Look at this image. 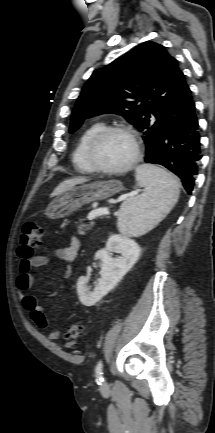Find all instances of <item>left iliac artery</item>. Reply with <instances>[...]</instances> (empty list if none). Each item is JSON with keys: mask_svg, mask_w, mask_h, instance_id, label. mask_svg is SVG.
Returning a JSON list of instances; mask_svg holds the SVG:
<instances>
[{"mask_svg": "<svg viewBox=\"0 0 215 433\" xmlns=\"http://www.w3.org/2000/svg\"><path fill=\"white\" fill-rule=\"evenodd\" d=\"M102 368H103V363H102V361L100 360V361L98 362L96 368H95V376H96V380H97V381H103V378H102V374H103V372H102Z\"/></svg>", "mask_w": 215, "mask_h": 433, "instance_id": "obj_1", "label": "left iliac artery"}]
</instances>
